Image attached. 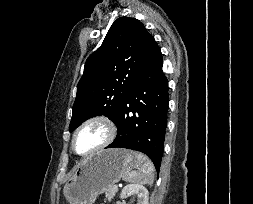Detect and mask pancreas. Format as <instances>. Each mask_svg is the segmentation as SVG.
<instances>
[{
    "mask_svg": "<svg viewBox=\"0 0 253 204\" xmlns=\"http://www.w3.org/2000/svg\"><path fill=\"white\" fill-rule=\"evenodd\" d=\"M118 191V189H115L114 186H111L107 192H105L106 195V199L108 201H111L113 199V197L115 196L116 192Z\"/></svg>",
    "mask_w": 253,
    "mask_h": 204,
    "instance_id": "obj_1",
    "label": "pancreas"
}]
</instances>
